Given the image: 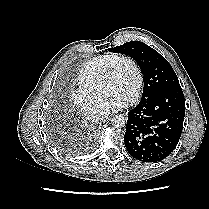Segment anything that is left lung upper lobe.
I'll list each match as a JSON object with an SVG mask.
<instances>
[{
	"instance_id": "1",
	"label": "left lung upper lobe",
	"mask_w": 209,
	"mask_h": 209,
	"mask_svg": "<svg viewBox=\"0 0 209 209\" xmlns=\"http://www.w3.org/2000/svg\"><path fill=\"white\" fill-rule=\"evenodd\" d=\"M109 51L129 55L137 61L144 75L142 98H146L165 87L179 84L169 62L156 50L140 41L127 42L111 48Z\"/></svg>"
}]
</instances>
